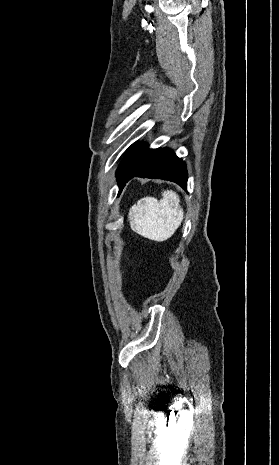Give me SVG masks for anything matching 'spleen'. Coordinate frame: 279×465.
I'll list each match as a JSON object with an SVG mask.
<instances>
[{
  "mask_svg": "<svg viewBox=\"0 0 279 465\" xmlns=\"http://www.w3.org/2000/svg\"><path fill=\"white\" fill-rule=\"evenodd\" d=\"M162 196L160 201L151 197L143 198L129 211L131 229L158 242L170 238L184 218L179 196L168 190L164 191Z\"/></svg>",
  "mask_w": 279,
  "mask_h": 465,
  "instance_id": "obj_1",
  "label": "spleen"
}]
</instances>
